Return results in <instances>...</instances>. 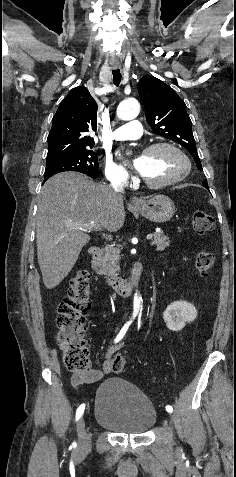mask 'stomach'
Segmentation results:
<instances>
[{
    "label": "stomach",
    "instance_id": "0dacf381",
    "mask_svg": "<svg viewBox=\"0 0 236 477\" xmlns=\"http://www.w3.org/2000/svg\"><path fill=\"white\" fill-rule=\"evenodd\" d=\"M137 209L143 217L155 223L167 222L175 213L174 203L165 195L143 199L137 205Z\"/></svg>",
    "mask_w": 236,
    "mask_h": 477
}]
</instances>
